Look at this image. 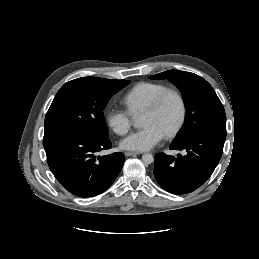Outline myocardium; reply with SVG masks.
Listing matches in <instances>:
<instances>
[{
    "mask_svg": "<svg viewBox=\"0 0 259 259\" xmlns=\"http://www.w3.org/2000/svg\"><path fill=\"white\" fill-rule=\"evenodd\" d=\"M173 96L176 98L178 104H179V116L176 124L169 130L167 131L164 135L165 137H173L175 136L183 127V124L185 122V117H186V103L181 95V93L175 89H166L163 91L157 98L156 100L144 111V113H150L154 114L157 113L161 110L163 107L164 103L166 100L170 97Z\"/></svg>",
    "mask_w": 259,
    "mask_h": 259,
    "instance_id": "obj_1",
    "label": "myocardium"
}]
</instances>
